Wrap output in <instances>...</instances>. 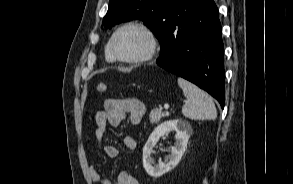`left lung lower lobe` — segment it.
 <instances>
[{
	"label": "left lung lower lobe",
	"instance_id": "left-lung-lower-lobe-1",
	"mask_svg": "<svg viewBox=\"0 0 293 184\" xmlns=\"http://www.w3.org/2000/svg\"><path fill=\"white\" fill-rule=\"evenodd\" d=\"M224 49L213 0H180L175 6L157 64L225 104Z\"/></svg>",
	"mask_w": 293,
	"mask_h": 184
}]
</instances>
